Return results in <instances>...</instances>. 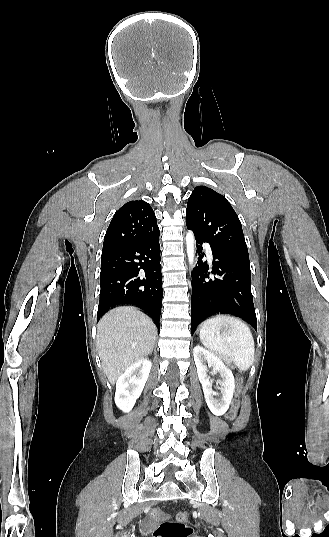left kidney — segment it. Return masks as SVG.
I'll list each match as a JSON object with an SVG mask.
<instances>
[{
  "label": "left kidney",
  "instance_id": "1",
  "mask_svg": "<svg viewBox=\"0 0 329 537\" xmlns=\"http://www.w3.org/2000/svg\"><path fill=\"white\" fill-rule=\"evenodd\" d=\"M193 356L206 403L214 415L221 416L228 410L235 391L233 373L225 366L219 356L204 349L200 345L194 347ZM206 363H208L209 367L213 368V371L220 373L221 380H217V383L221 385V399L214 398L215 392L212 389V382L207 374L208 367Z\"/></svg>",
  "mask_w": 329,
  "mask_h": 537
}]
</instances>
